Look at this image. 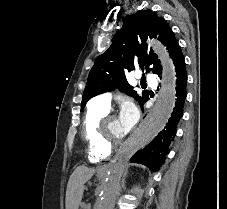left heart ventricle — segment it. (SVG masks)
I'll list each match as a JSON object with an SVG mask.
<instances>
[{
	"mask_svg": "<svg viewBox=\"0 0 227 209\" xmlns=\"http://www.w3.org/2000/svg\"><path fill=\"white\" fill-rule=\"evenodd\" d=\"M105 134L111 140L125 139L128 131L123 128L119 122V119L115 118L106 125Z\"/></svg>",
	"mask_w": 227,
	"mask_h": 209,
	"instance_id": "left-heart-ventricle-1",
	"label": "left heart ventricle"
}]
</instances>
